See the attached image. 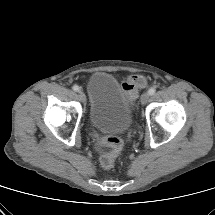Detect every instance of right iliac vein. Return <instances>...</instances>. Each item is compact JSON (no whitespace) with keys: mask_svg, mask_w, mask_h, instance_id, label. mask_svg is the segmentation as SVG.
Returning <instances> with one entry per match:
<instances>
[{"mask_svg":"<svg viewBox=\"0 0 215 215\" xmlns=\"http://www.w3.org/2000/svg\"><path fill=\"white\" fill-rule=\"evenodd\" d=\"M79 98L83 103L86 101L85 94L82 91H79Z\"/></svg>","mask_w":215,"mask_h":215,"instance_id":"obj_1","label":"right iliac vein"}]
</instances>
